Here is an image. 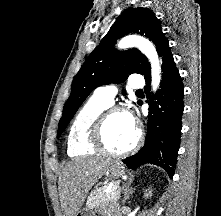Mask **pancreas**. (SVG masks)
<instances>
[{
    "instance_id": "1",
    "label": "pancreas",
    "mask_w": 221,
    "mask_h": 216,
    "mask_svg": "<svg viewBox=\"0 0 221 216\" xmlns=\"http://www.w3.org/2000/svg\"><path fill=\"white\" fill-rule=\"evenodd\" d=\"M107 186L100 187L94 191L87 200L88 207L104 208L120 198V187L114 183L111 190L106 192Z\"/></svg>"
}]
</instances>
